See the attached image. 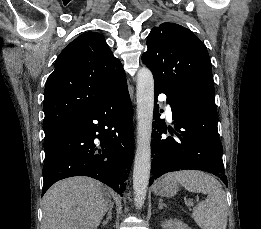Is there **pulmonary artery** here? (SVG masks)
<instances>
[{
  "label": "pulmonary artery",
  "instance_id": "1",
  "mask_svg": "<svg viewBox=\"0 0 261 229\" xmlns=\"http://www.w3.org/2000/svg\"><path fill=\"white\" fill-rule=\"evenodd\" d=\"M163 94L165 95L166 93L164 92ZM165 99L167 100L168 98L166 97ZM166 104H167V105H172V104H173V101H172V100H167V101H166ZM167 110H168V115L171 116V111H170V109L168 108Z\"/></svg>",
  "mask_w": 261,
  "mask_h": 229
}]
</instances>
